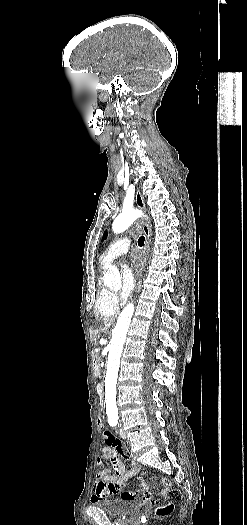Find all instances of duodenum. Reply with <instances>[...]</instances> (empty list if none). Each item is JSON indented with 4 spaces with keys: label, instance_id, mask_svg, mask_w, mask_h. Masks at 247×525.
Masks as SVG:
<instances>
[{
    "label": "duodenum",
    "instance_id": "410a0bca",
    "mask_svg": "<svg viewBox=\"0 0 247 525\" xmlns=\"http://www.w3.org/2000/svg\"><path fill=\"white\" fill-rule=\"evenodd\" d=\"M93 370H94V374H95V375H99V374H100V370H101V369H100V364H99L97 361L94 362ZM97 393H98V395H99L101 398L104 397V389H103V386H102V385H98V386H97Z\"/></svg>",
    "mask_w": 247,
    "mask_h": 525
}]
</instances>
